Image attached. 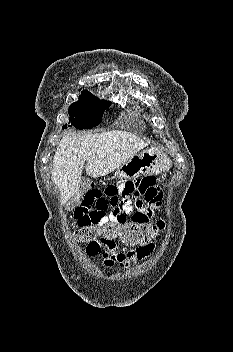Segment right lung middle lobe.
<instances>
[{
	"label": "right lung middle lobe",
	"mask_w": 233,
	"mask_h": 352,
	"mask_svg": "<svg viewBox=\"0 0 233 352\" xmlns=\"http://www.w3.org/2000/svg\"><path fill=\"white\" fill-rule=\"evenodd\" d=\"M110 105L106 100H100L88 91H82L79 100L68 109L70 123L78 129H91L97 126L105 109ZM63 125V129L67 128ZM70 126V125H69Z\"/></svg>",
	"instance_id": "dd1d6c3e"
}]
</instances>
